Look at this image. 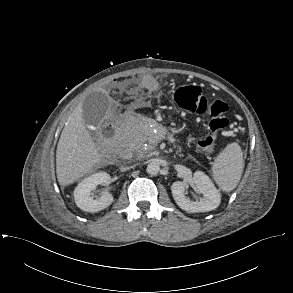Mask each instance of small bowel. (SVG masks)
Returning <instances> with one entry per match:
<instances>
[{
    "mask_svg": "<svg viewBox=\"0 0 293 293\" xmlns=\"http://www.w3.org/2000/svg\"><path fill=\"white\" fill-rule=\"evenodd\" d=\"M141 87L148 93L156 91L158 88V81L151 75H143L140 78Z\"/></svg>",
    "mask_w": 293,
    "mask_h": 293,
    "instance_id": "c3829d8e",
    "label": "small bowel"
}]
</instances>
